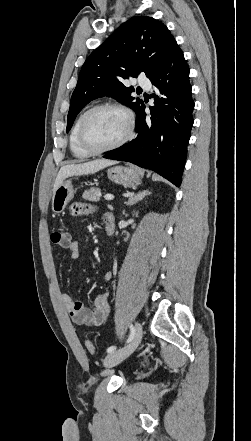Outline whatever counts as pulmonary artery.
Wrapping results in <instances>:
<instances>
[{"mask_svg": "<svg viewBox=\"0 0 251 441\" xmlns=\"http://www.w3.org/2000/svg\"><path fill=\"white\" fill-rule=\"evenodd\" d=\"M137 83L139 86L144 87L146 89L151 88V82L147 78L140 77V78H138Z\"/></svg>", "mask_w": 251, "mask_h": 441, "instance_id": "obj_1", "label": "pulmonary artery"}]
</instances>
